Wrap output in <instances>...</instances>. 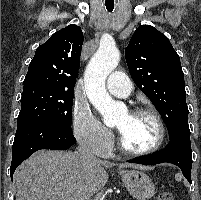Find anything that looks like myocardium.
Instances as JSON below:
<instances>
[{"label": "myocardium", "instance_id": "f54148a6", "mask_svg": "<svg viewBox=\"0 0 201 200\" xmlns=\"http://www.w3.org/2000/svg\"><path fill=\"white\" fill-rule=\"evenodd\" d=\"M129 114L130 115H148L151 118H153L159 129V138H158L157 142L150 148H147L145 150H134L126 145L122 135L120 134V132H118L119 148L124 153L133 155V156H146V155L153 154V153L157 152L158 150H160L162 148V146L164 145V143L166 141V136H167L166 127H165V124H164L162 118L160 117V115L153 109H150L145 106L133 107L129 111Z\"/></svg>", "mask_w": 201, "mask_h": 200}]
</instances>
